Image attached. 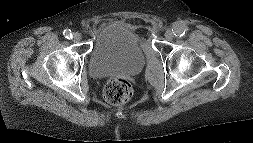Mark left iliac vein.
Wrapping results in <instances>:
<instances>
[{
  "instance_id": "1",
  "label": "left iliac vein",
  "mask_w": 253,
  "mask_h": 143,
  "mask_svg": "<svg viewBox=\"0 0 253 143\" xmlns=\"http://www.w3.org/2000/svg\"><path fill=\"white\" fill-rule=\"evenodd\" d=\"M165 38L169 41L172 40L174 38V32L172 30H167L165 32Z\"/></svg>"
}]
</instances>
